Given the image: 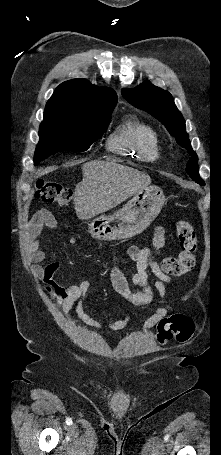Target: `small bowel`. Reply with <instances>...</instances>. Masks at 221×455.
<instances>
[{"instance_id":"obj_1","label":"small bowel","mask_w":221,"mask_h":455,"mask_svg":"<svg viewBox=\"0 0 221 455\" xmlns=\"http://www.w3.org/2000/svg\"><path fill=\"white\" fill-rule=\"evenodd\" d=\"M55 226L56 220L47 210L37 212L28 223L26 243L28 253L34 262H41L46 258V252L39 247L41 231L44 227L54 228ZM78 242L79 240L76 236L69 238L70 245H77ZM164 244L165 231L162 227H157L153 235L151 247L132 245L126 249V256L134 265V274L131 283L126 279L120 269L118 260L114 259L110 271L113 287L133 306L141 307L152 303L155 299L154 289L148 278V267L157 277L154 284L156 291L163 300H166L167 285L171 282V278L160 269L159 262L156 258ZM59 267V262H51L42 267L40 272L43 276L46 290L50 292L56 305L67 318H71V312L74 310L76 316L86 325L95 329H106L112 332L120 331L128 325L131 320L130 315L104 325L87 314L83 306V299L92 288L91 282L86 280L78 285H62L55 278ZM165 303V306L157 308L143 322L141 326L142 330H149L155 327L161 319L172 311L171 305L166 301Z\"/></svg>"}]
</instances>
